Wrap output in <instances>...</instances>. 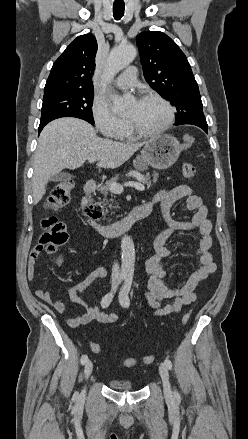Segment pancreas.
<instances>
[{
	"instance_id": "1",
	"label": "pancreas",
	"mask_w": 248,
	"mask_h": 439,
	"mask_svg": "<svg viewBox=\"0 0 248 439\" xmlns=\"http://www.w3.org/2000/svg\"><path fill=\"white\" fill-rule=\"evenodd\" d=\"M130 174L137 178L140 179L142 181V183L146 184L147 187H151L153 183H155L158 179V174L157 173H153L152 174V180H151V176L149 173H147L146 175H142L138 170H130ZM118 180V177H115L113 179H111L110 181L106 182L105 185L100 184L98 186V190H100L101 192H103L104 194V198L102 199V205L103 208H106L107 205H109L110 208H112L113 204H116V201L114 198H111L109 201L111 203H109L108 199H107V194H108V190H109V186L112 182H116ZM106 212H108V210H106Z\"/></svg>"
}]
</instances>
